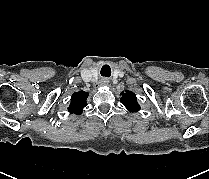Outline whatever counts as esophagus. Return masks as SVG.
Instances as JSON below:
<instances>
[{
    "label": "esophagus",
    "instance_id": "1",
    "mask_svg": "<svg viewBox=\"0 0 209 179\" xmlns=\"http://www.w3.org/2000/svg\"><path fill=\"white\" fill-rule=\"evenodd\" d=\"M100 83H101V85H108L109 84V80L104 78V79L101 80Z\"/></svg>",
    "mask_w": 209,
    "mask_h": 179
}]
</instances>
